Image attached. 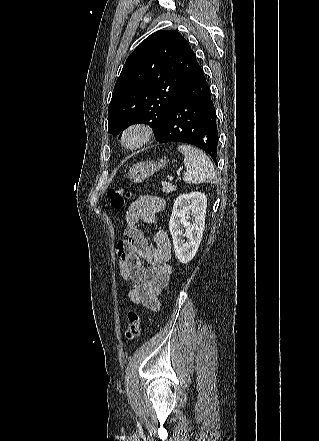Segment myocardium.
I'll return each instance as SVG.
<instances>
[{
  "label": "myocardium",
  "instance_id": "obj_1",
  "mask_svg": "<svg viewBox=\"0 0 319 441\" xmlns=\"http://www.w3.org/2000/svg\"><path fill=\"white\" fill-rule=\"evenodd\" d=\"M152 137L153 130L148 124L134 122L122 131L120 142L125 149L135 151L144 147Z\"/></svg>",
  "mask_w": 319,
  "mask_h": 441
}]
</instances>
